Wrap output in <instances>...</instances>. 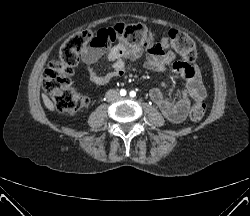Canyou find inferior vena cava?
Segmentation results:
<instances>
[{"label":"inferior vena cava","mask_w":250,"mask_h":216,"mask_svg":"<svg viewBox=\"0 0 250 216\" xmlns=\"http://www.w3.org/2000/svg\"><path fill=\"white\" fill-rule=\"evenodd\" d=\"M106 98L109 102H111V101H114V100L120 98V95L116 90L111 89V90L107 91Z\"/></svg>","instance_id":"inferior-vena-cava-1"}]
</instances>
